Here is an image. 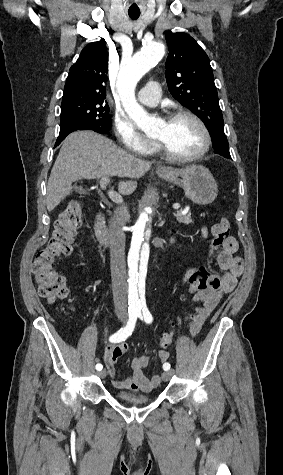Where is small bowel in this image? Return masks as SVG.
Returning <instances> with one entry per match:
<instances>
[{
	"instance_id": "obj_1",
	"label": "small bowel",
	"mask_w": 283,
	"mask_h": 475,
	"mask_svg": "<svg viewBox=\"0 0 283 475\" xmlns=\"http://www.w3.org/2000/svg\"><path fill=\"white\" fill-rule=\"evenodd\" d=\"M207 235L208 229L205 225H202L199 232V239H205ZM237 251V240L234 237H229L225 242L224 251H220L217 255L218 266L224 271V274H213L214 282L209 291H204L203 296H193V300L197 305L194 310L185 317V322L193 337L199 334L206 320L214 311L220 300L235 289L238 279L244 271L243 259L236 255ZM187 274H190V269L182 276L183 283L187 282ZM126 350L127 346L123 343L115 345L108 344L105 349L104 363L108 374L112 378L114 387L118 389L149 390L159 385L161 381L159 374L146 377L143 373V369L149 362L148 356L133 358L131 360V367L133 369L132 375L126 379L118 377L116 363ZM165 363L166 362H160L161 365Z\"/></svg>"
}]
</instances>
